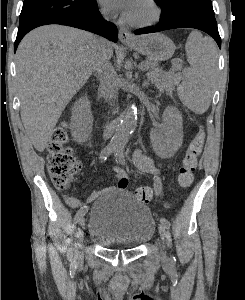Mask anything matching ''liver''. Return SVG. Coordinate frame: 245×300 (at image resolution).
Listing matches in <instances>:
<instances>
[{"label":"liver","instance_id":"1","mask_svg":"<svg viewBox=\"0 0 245 300\" xmlns=\"http://www.w3.org/2000/svg\"><path fill=\"white\" fill-rule=\"evenodd\" d=\"M98 41L109 60L113 55L110 42L72 27L42 26L20 42L16 71L21 119L39 152L46 148L69 101L92 74Z\"/></svg>","mask_w":245,"mask_h":300}]
</instances>
